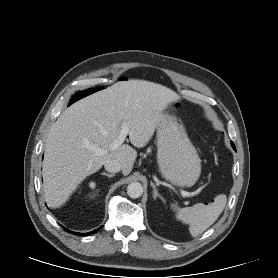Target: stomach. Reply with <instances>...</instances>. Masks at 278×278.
Returning <instances> with one entry per match:
<instances>
[{
  "mask_svg": "<svg viewBox=\"0 0 278 278\" xmlns=\"http://www.w3.org/2000/svg\"><path fill=\"white\" fill-rule=\"evenodd\" d=\"M157 161L162 177L178 187H192L201 173L199 155L185 127L167 113L157 123Z\"/></svg>",
  "mask_w": 278,
  "mask_h": 278,
  "instance_id": "1",
  "label": "stomach"
}]
</instances>
